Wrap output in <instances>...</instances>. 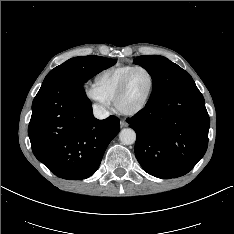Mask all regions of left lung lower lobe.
Here are the masks:
<instances>
[{
	"instance_id": "left-lung-lower-lobe-1",
	"label": "left lung lower lobe",
	"mask_w": 234,
	"mask_h": 234,
	"mask_svg": "<svg viewBox=\"0 0 234 234\" xmlns=\"http://www.w3.org/2000/svg\"><path fill=\"white\" fill-rule=\"evenodd\" d=\"M127 122L137 134L135 156L152 176H183L207 150L210 120L204 98L193 80L147 103Z\"/></svg>"
}]
</instances>
